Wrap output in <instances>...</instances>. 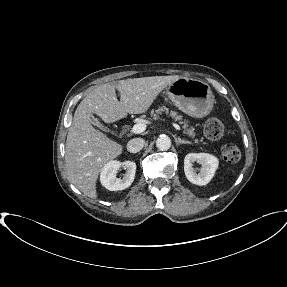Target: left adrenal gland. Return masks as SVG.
I'll return each mask as SVG.
<instances>
[{
	"mask_svg": "<svg viewBox=\"0 0 287 287\" xmlns=\"http://www.w3.org/2000/svg\"><path fill=\"white\" fill-rule=\"evenodd\" d=\"M175 142L177 144H191L190 141L182 140L180 137H178V138L175 137Z\"/></svg>",
	"mask_w": 287,
	"mask_h": 287,
	"instance_id": "1",
	"label": "left adrenal gland"
}]
</instances>
